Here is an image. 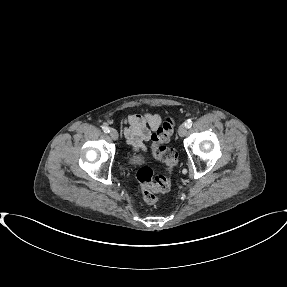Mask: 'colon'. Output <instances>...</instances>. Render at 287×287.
<instances>
[{
	"mask_svg": "<svg viewBox=\"0 0 287 287\" xmlns=\"http://www.w3.org/2000/svg\"><path fill=\"white\" fill-rule=\"evenodd\" d=\"M174 127L175 122L173 118L167 117L164 123L151 136L153 157L164 164L167 174L153 176V172L148 166H142L136 172L137 185L134 191L146 203H155L157 201V193H165L170 190V175L178 162L177 152L167 146Z\"/></svg>",
	"mask_w": 287,
	"mask_h": 287,
	"instance_id": "obj_1",
	"label": "colon"
}]
</instances>
